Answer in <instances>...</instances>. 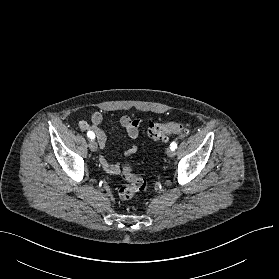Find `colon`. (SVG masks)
<instances>
[{
    "instance_id": "colon-1",
    "label": "colon",
    "mask_w": 279,
    "mask_h": 279,
    "mask_svg": "<svg viewBox=\"0 0 279 279\" xmlns=\"http://www.w3.org/2000/svg\"><path fill=\"white\" fill-rule=\"evenodd\" d=\"M186 129L187 125L179 122H150L147 133L154 140H166L169 135L182 133ZM121 176L127 181V184L121 186L118 190V196L120 199L128 200L136 193L146 190V180L133 174L131 165L128 161H125L123 164Z\"/></svg>"
}]
</instances>
